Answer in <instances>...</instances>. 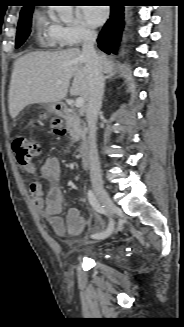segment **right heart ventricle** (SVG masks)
I'll return each instance as SVG.
<instances>
[{
  "label": "right heart ventricle",
  "mask_w": 184,
  "mask_h": 327,
  "mask_svg": "<svg viewBox=\"0 0 184 327\" xmlns=\"http://www.w3.org/2000/svg\"><path fill=\"white\" fill-rule=\"evenodd\" d=\"M37 37L41 44L54 47L59 44V25L50 21L44 15H39L36 21Z\"/></svg>",
  "instance_id": "1"
}]
</instances>
